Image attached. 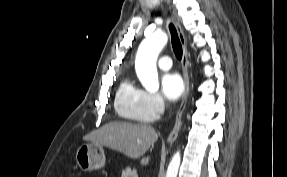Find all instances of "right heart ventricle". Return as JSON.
I'll list each match as a JSON object with an SVG mask.
<instances>
[{
    "label": "right heart ventricle",
    "mask_w": 287,
    "mask_h": 177,
    "mask_svg": "<svg viewBox=\"0 0 287 177\" xmlns=\"http://www.w3.org/2000/svg\"><path fill=\"white\" fill-rule=\"evenodd\" d=\"M114 107L117 114L125 120L133 122H150L153 120L146 111L145 92L134 84L130 77L120 83Z\"/></svg>",
    "instance_id": "obj_1"
}]
</instances>
